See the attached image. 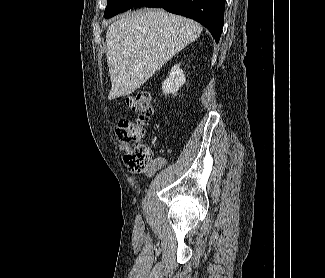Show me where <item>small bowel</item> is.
Returning <instances> with one entry per match:
<instances>
[{
	"label": "small bowel",
	"mask_w": 325,
	"mask_h": 278,
	"mask_svg": "<svg viewBox=\"0 0 325 278\" xmlns=\"http://www.w3.org/2000/svg\"><path fill=\"white\" fill-rule=\"evenodd\" d=\"M167 160L164 157H155L152 158L147 166L144 168V170L142 171V174L150 177L152 176L159 168H161L162 166H164L166 164Z\"/></svg>",
	"instance_id": "c3829d8e"
}]
</instances>
